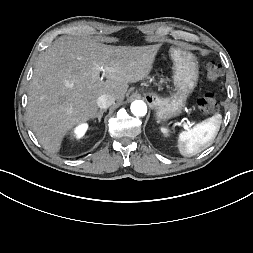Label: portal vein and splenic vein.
Masks as SVG:
<instances>
[{
	"label": "portal vein and splenic vein",
	"mask_w": 253,
	"mask_h": 253,
	"mask_svg": "<svg viewBox=\"0 0 253 253\" xmlns=\"http://www.w3.org/2000/svg\"><path fill=\"white\" fill-rule=\"evenodd\" d=\"M94 76H95V75H94ZM188 125H189V123H188ZM188 125H187V124H185V125H184V128H185V129H188V128H189V126H188Z\"/></svg>",
	"instance_id": "1"
}]
</instances>
